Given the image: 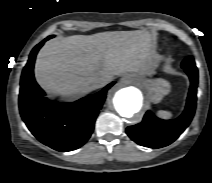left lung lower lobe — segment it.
I'll list each match as a JSON object with an SVG mask.
<instances>
[{
  "mask_svg": "<svg viewBox=\"0 0 212 183\" xmlns=\"http://www.w3.org/2000/svg\"><path fill=\"white\" fill-rule=\"evenodd\" d=\"M182 68L191 83L184 112L177 119L162 120L148 111L141 123L126 129L128 136L137 144L150 148L165 147L174 142L190 124L196 108L198 69L191 56L182 62Z\"/></svg>",
  "mask_w": 212,
  "mask_h": 183,
  "instance_id": "0a47b994",
  "label": "left lung lower lobe"
}]
</instances>
